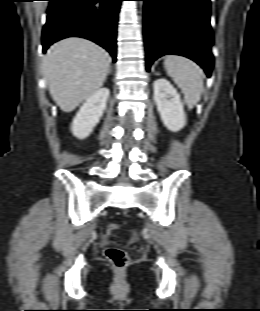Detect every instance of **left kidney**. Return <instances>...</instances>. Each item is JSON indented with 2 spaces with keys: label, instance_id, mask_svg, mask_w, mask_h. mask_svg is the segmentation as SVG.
Here are the masks:
<instances>
[{
  "label": "left kidney",
  "instance_id": "5707ae66",
  "mask_svg": "<svg viewBox=\"0 0 260 311\" xmlns=\"http://www.w3.org/2000/svg\"><path fill=\"white\" fill-rule=\"evenodd\" d=\"M154 101L161 120L168 130L177 132L186 125V115L180 95L164 78L154 81Z\"/></svg>",
  "mask_w": 260,
  "mask_h": 311
}]
</instances>
